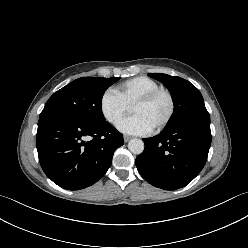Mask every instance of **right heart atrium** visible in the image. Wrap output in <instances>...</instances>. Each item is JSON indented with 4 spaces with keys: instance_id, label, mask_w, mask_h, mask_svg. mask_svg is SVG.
Returning <instances> with one entry per match:
<instances>
[{
    "instance_id": "right-heart-atrium-1",
    "label": "right heart atrium",
    "mask_w": 248,
    "mask_h": 248,
    "mask_svg": "<svg viewBox=\"0 0 248 248\" xmlns=\"http://www.w3.org/2000/svg\"><path fill=\"white\" fill-rule=\"evenodd\" d=\"M99 105L102 116L112 125H116L129 110V106L113 89L102 93Z\"/></svg>"
}]
</instances>
